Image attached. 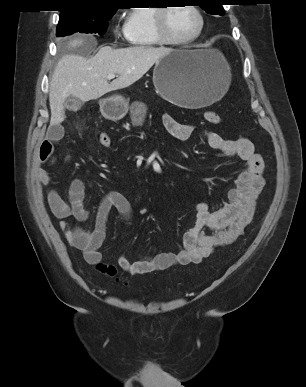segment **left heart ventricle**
<instances>
[{
  "label": "left heart ventricle",
  "instance_id": "obj_1",
  "mask_svg": "<svg viewBox=\"0 0 306 387\" xmlns=\"http://www.w3.org/2000/svg\"><path fill=\"white\" fill-rule=\"evenodd\" d=\"M199 25L194 11L188 6L172 7L167 15L169 34L176 39H185L193 35Z\"/></svg>",
  "mask_w": 306,
  "mask_h": 387
}]
</instances>
